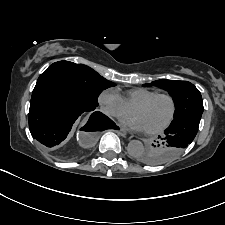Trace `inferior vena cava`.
<instances>
[{"mask_svg": "<svg viewBox=\"0 0 225 225\" xmlns=\"http://www.w3.org/2000/svg\"><path fill=\"white\" fill-rule=\"evenodd\" d=\"M102 111H103V112H105V113H107V110H106V108H103V109H102Z\"/></svg>", "mask_w": 225, "mask_h": 225, "instance_id": "obj_1", "label": "inferior vena cava"}]
</instances>
